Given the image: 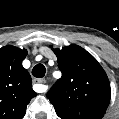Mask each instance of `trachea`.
Instances as JSON below:
<instances>
[{
    "mask_svg": "<svg viewBox=\"0 0 119 119\" xmlns=\"http://www.w3.org/2000/svg\"><path fill=\"white\" fill-rule=\"evenodd\" d=\"M46 72L45 66L42 64H37L33 69H32V75L36 78H42L44 77Z\"/></svg>",
    "mask_w": 119,
    "mask_h": 119,
    "instance_id": "3493384b",
    "label": "trachea"
}]
</instances>
